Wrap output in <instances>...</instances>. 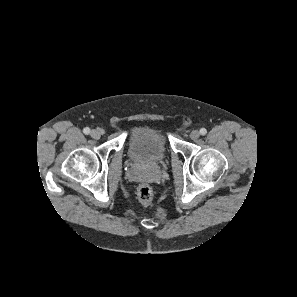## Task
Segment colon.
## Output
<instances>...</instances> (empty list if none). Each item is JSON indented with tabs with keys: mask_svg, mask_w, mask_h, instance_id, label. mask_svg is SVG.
Here are the masks:
<instances>
[{
	"mask_svg": "<svg viewBox=\"0 0 297 297\" xmlns=\"http://www.w3.org/2000/svg\"><path fill=\"white\" fill-rule=\"evenodd\" d=\"M138 199L142 205H149L153 199L152 188L145 184L141 185L138 189Z\"/></svg>",
	"mask_w": 297,
	"mask_h": 297,
	"instance_id": "1",
	"label": "colon"
}]
</instances>
